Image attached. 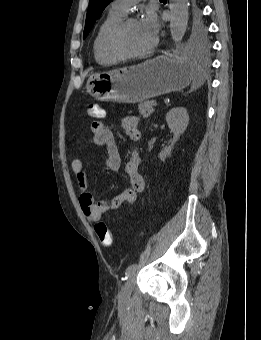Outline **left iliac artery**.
<instances>
[{
    "label": "left iliac artery",
    "instance_id": "1",
    "mask_svg": "<svg viewBox=\"0 0 261 340\" xmlns=\"http://www.w3.org/2000/svg\"><path fill=\"white\" fill-rule=\"evenodd\" d=\"M137 268V264H131L128 266L125 272V278L127 279Z\"/></svg>",
    "mask_w": 261,
    "mask_h": 340
}]
</instances>
